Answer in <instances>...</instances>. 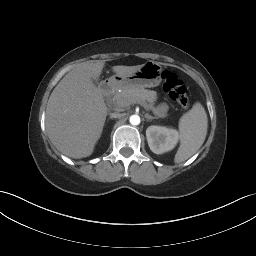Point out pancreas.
I'll use <instances>...</instances> for the list:
<instances>
[{
    "label": "pancreas",
    "mask_w": 256,
    "mask_h": 256,
    "mask_svg": "<svg viewBox=\"0 0 256 256\" xmlns=\"http://www.w3.org/2000/svg\"><path fill=\"white\" fill-rule=\"evenodd\" d=\"M157 100V93L144 88H124L114 94V103L118 108H127L131 104L139 103L152 109Z\"/></svg>",
    "instance_id": "pancreas-1"
}]
</instances>
